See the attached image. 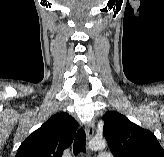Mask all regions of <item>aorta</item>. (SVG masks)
<instances>
[{
  "label": "aorta",
  "instance_id": "762f6f07",
  "mask_svg": "<svg viewBox=\"0 0 164 157\" xmlns=\"http://www.w3.org/2000/svg\"><path fill=\"white\" fill-rule=\"evenodd\" d=\"M105 147H106V142L102 139H100V140L93 139L89 143V148L91 150H103V149H105Z\"/></svg>",
  "mask_w": 164,
  "mask_h": 157
}]
</instances>
